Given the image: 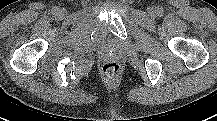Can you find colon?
I'll use <instances>...</instances> for the list:
<instances>
[{"mask_svg": "<svg viewBox=\"0 0 217 121\" xmlns=\"http://www.w3.org/2000/svg\"><path fill=\"white\" fill-rule=\"evenodd\" d=\"M102 72L108 78L115 77L120 72V65L117 62H107L102 66Z\"/></svg>", "mask_w": 217, "mask_h": 121, "instance_id": "obj_1", "label": "colon"}]
</instances>
